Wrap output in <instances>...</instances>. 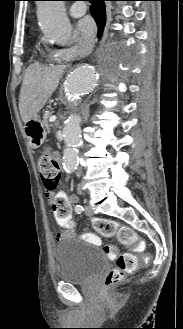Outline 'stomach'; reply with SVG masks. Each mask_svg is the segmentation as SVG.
Listing matches in <instances>:
<instances>
[{"instance_id":"obj_1","label":"stomach","mask_w":183,"mask_h":329,"mask_svg":"<svg viewBox=\"0 0 183 329\" xmlns=\"http://www.w3.org/2000/svg\"><path fill=\"white\" fill-rule=\"evenodd\" d=\"M24 131L31 148H39L45 141L47 131L43 121L38 116H34L24 125Z\"/></svg>"}]
</instances>
